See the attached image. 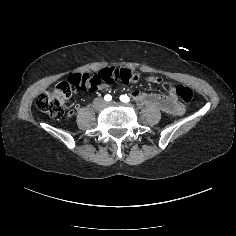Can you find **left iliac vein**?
Here are the masks:
<instances>
[{
    "label": "left iliac vein",
    "instance_id": "left-iliac-vein-1",
    "mask_svg": "<svg viewBox=\"0 0 236 236\" xmlns=\"http://www.w3.org/2000/svg\"><path fill=\"white\" fill-rule=\"evenodd\" d=\"M115 104H117L116 102H110V103H108V105H115Z\"/></svg>",
    "mask_w": 236,
    "mask_h": 236
}]
</instances>
